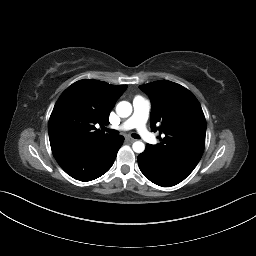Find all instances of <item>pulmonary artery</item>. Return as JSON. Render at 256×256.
Instances as JSON below:
<instances>
[{
    "mask_svg": "<svg viewBox=\"0 0 256 256\" xmlns=\"http://www.w3.org/2000/svg\"><path fill=\"white\" fill-rule=\"evenodd\" d=\"M151 103L143 97H135L133 100L132 115L115 128L122 131L136 129L142 139L150 144H156L157 138L147 129Z\"/></svg>",
    "mask_w": 256,
    "mask_h": 256,
    "instance_id": "obj_1",
    "label": "pulmonary artery"
}]
</instances>
